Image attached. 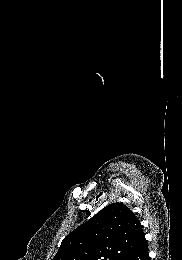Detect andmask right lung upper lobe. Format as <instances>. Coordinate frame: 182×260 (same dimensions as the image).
Returning <instances> with one entry per match:
<instances>
[{
    "label": "right lung upper lobe",
    "mask_w": 182,
    "mask_h": 260,
    "mask_svg": "<svg viewBox=\"0 0 182 260\" xmlns=\"http://www.w3.org/2000/svg\"><path fill=\"white\" fill-rule=\"evenodd\" d=\"M146 242L135 214L112 203L67 235L53 260H125Z\"/></svg>",
    "instance_id": "obj_1"
}]
</instances>
